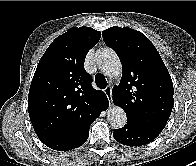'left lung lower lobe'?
Here are the masks:
<instances>
[{"mask_svg":"<svg viewBox=\"0 0 196 166\" xmlns=\"http://www.w3.org/2000/svg\"><path fill=\"white\" fill-rule=\"evenodd\" d=\"M160 132L140 127L132 122L121 129H114L113 136L116 141L127 146H142L153 141Z\"/></svg>","mask_w":196,"mask_h":166,"instance_id":"left-lung-lower-lobe-1","label":"left lung lower lobe"}]
</instances>
